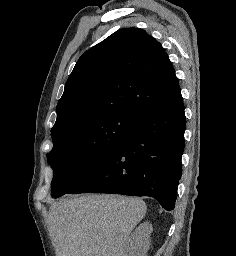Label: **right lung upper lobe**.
<instances>
[{"mask_svg": "<svg viewBox=\"0 0 236 256\" xmlns=\"http://www.w3.org/2000/svg\"><path fill=\"white\" fill-rule=\"evenodd\" d=\"M180 92L161 44L140 28H123L79 58L58 102L51 133L114 113L140 119Z\"/></svg>", "mask_w": 236, "mask_h": 256, "instance_id": "right-lung-upper-lobe-1", "label": "right lung upper lobe"}]
</instances>
